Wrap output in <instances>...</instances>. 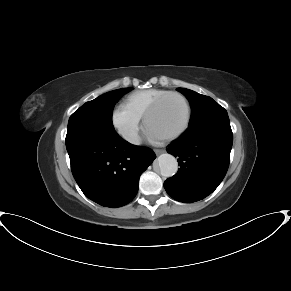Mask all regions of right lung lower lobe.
<instances>
[{
	"label": "right lung lower lobe",
	"instance_id": "right-lung-lower-lobe-1",
	"mask_svg": "<svg viewBox=\"0 0 291 291\" xmlns=\"http://www.w3.org/2000/svg\"><path fill=\"white\" fill-rule=\"evenodd\" d=\"M66 148L82 192L113 208L134 199L140 175L156 158L151 149L126 142L114 129L93 126L69 127Z\"/></svg>",
	"mask_w": 291,
	"mask_h": 291
}]
</instances>
